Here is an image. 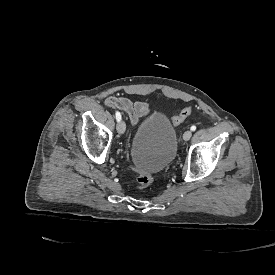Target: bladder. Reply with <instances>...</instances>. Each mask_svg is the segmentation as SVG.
Masks as SVG:
<instances>
[{
	"instance_id": "bladder-1",
	"label": "bladder",
	"mask_w": 275,
	"mask_h": 275,
	"mask_svg": "<svg viewBox=\"0 0 275 275\" xmlns=\"http://www.w3.org/2000/svg\"><path fill=\"white\" fill-rule=\"evenodd\" d=\"M176 152L174 125L165 112L155 109L134 132L133 165L141 173L160 172L171 164Z\"/></svg>"
}]
</instances>
